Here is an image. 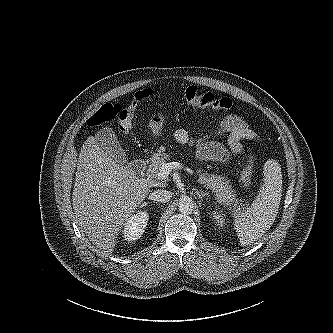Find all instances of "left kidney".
<instances>
[{"label": "left kidney", "mask_w": 333, "mask_h": 333, "mask_svg": "<svg viewBox=\"0 0 333 333\" xmlns=\"http://www.w3.org/2000/svg\"><path fill=\"white\" fill-rule=\"evenodd\" d=\"M212 215H213V218H214L215 222L219 226H223L225 224V218H224V216L221 212L213 211Z\"/></svg>", "instance_id": "5707ae66"}]
</instances>
